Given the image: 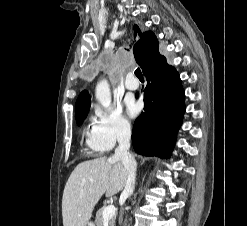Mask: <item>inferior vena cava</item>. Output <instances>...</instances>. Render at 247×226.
<instances>
[{
	"label": "inferior vena cava",
	"mask_w": 247,
	"mask_h": 226,
	"mask_svg": "<svg viewBox=\"0 0 247 226\" xmlns=\"http://www.w3.org/2000/svg\"><path fill=\"white\" fill-rule=\"evenodd\" d=\"M130 139V126H121L117 132L118 147L115 149L113 158L120 160L128 171L127 182L122 193L124 197H129L130 195H132L135 187V172L137 164L134 156L129 151Z\"/></svg>",
	"instance_id": "1"
}]
</instances>
